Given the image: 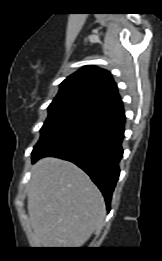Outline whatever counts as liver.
I'll return each mask as SVG.
<instances>
[{"mask_svg":"<svg viewBox=\"0 0 162 261\" xmlns=\"http://www.w3.org/2000/svg\"><path fill=\"white\" fill-rule=\"evenodd\" d=\"M27 206L35 243L46 248L81 247L105 217L104 199L90 178L51 157L32 168Z\"/></svg>","mask_w":162,"mask_h":261,"instance_id":"obj_1","label":"liver"}]
</instances>
